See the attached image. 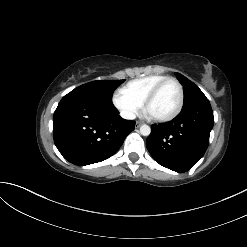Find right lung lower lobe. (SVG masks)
Here are the masks:
<instances>
[{"label":"right lung lower lobe","instance_id":"obj_1","mask_svg":"<svg viewBox=\"0 0 247 247\" xmlns=\"http://www.w3.org/2000/svg\"><path fill=\"white\" fill-rule=\"evenodd\" d=\"M112 103L66 95L55 110L54 142L69 162L84 166L111 157L134 130Z\"/></svg>","mask_w":247,"mask_h":247}]
</instances>
